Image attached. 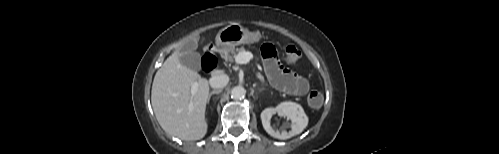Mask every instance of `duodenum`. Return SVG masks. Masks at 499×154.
<instances>
[{"mask_svg":"<svg viewBox=\"0 0 499 154\" xmlns=\"http://www.w3.org/2000/svg\"><path fill=\"white\" fill-rule=\"evenodd\" d=\"M210 56H213L216 58V52H215V47H213V49H211L209 52L206 53L205 57H204V60L202 62V68L203 70L206 72V73H209L215 69H211L208 67V64H207V58H209Z\"/></svg>","mask_w":499,"mask_h":154,"instance_id":"1","label":"duodenum"}]
</instances>
